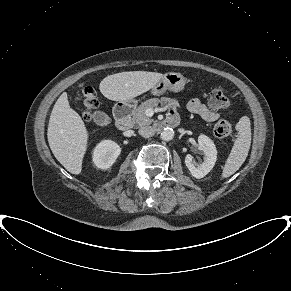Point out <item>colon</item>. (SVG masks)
Returning <instances> with one entry per match:
<instances>
[{"label":"colon","mask_w":291,"mask_h":291,"mask_svg":"<svg viewBox=\"0 0 291 291\" xmlns=\"http://www.w3.org/2000/svg\"><path fill=\"white\" fill-rule=\"evenodd\" d=\"M209 105L212 109L219 110L227 108L230 104L228 96L220 89H215L210 93ZM98 105V100L95 91L88 87L83 93V108L82 116L85 120L92 117L94 109ZM214 133L219 138H224L232 133V125L227 120L218 121L214 126Z\"/></svg>","instance_id":"colon-1"}]
</instances>
